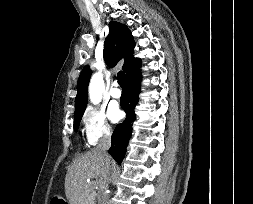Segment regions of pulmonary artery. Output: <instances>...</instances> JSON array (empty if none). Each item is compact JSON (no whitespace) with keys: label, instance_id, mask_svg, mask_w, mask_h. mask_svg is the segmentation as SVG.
I'll return each mask as SVG.
<instances>
[{"label":"pulmonary artery","instance_id":"pulmonary-artery-1","mask_svg":"<svg viewBox=\"0 0 253 204\" xmlns=\"http://www.w3.org/2000/svg\"><path fill=\"white\" fill-rule=\"evenodd\" d=\"M111 96L114 98H119L121 96V90L116 82L114 83V86L111 89Z\"/></svg>","mask_w":253,"mask_h":204}]
</instances>
